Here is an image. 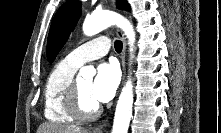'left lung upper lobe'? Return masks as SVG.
Listing matches in <instances>:
<instances>
[{
  "mask_svg": "<svg viewBox=\"0 0 221 133\" xmlns=\"http://www.w3.org/2000/svg\"><path fill=\"white\" fill-rule=\"evenodd\" d=\"M117 7L119 9H130L126 0H118ZM80 15L81 3L76 0L65 2L57 11L52 21L47 41V57L50 62L54 61L65 44Z\"/></svg>",
  "mask_w": 221,
  "mask_h": 133,
  "instance_id": "left-lung-upper-lobe-1",
  "label": "left lung upper lobe"
}]
</instances>
